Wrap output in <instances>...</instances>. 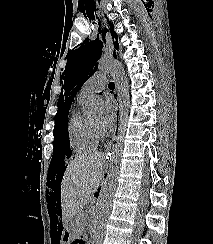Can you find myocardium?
Returning a JSON list of instances; mask_svg holds the SVG:
<instances>
[{
  "label": "myocardium",
  "mask_w": 213,
  "mask_h": 244,
  "mask_svg": "<svg viewBox=\"0 0 213 244\" xmlns=\"http://www.w3.org/2000/svg\"><path fill=\"white\" fill-rule=\"evenodd\" d=\"M92 125H93V127H94L96 133H97L98 135H101L102 132H101L100 126H99L98 124H95L94 122H92Z\"/></svg>",
  "instance_id": "myocardium-1"
}]
</instances>
